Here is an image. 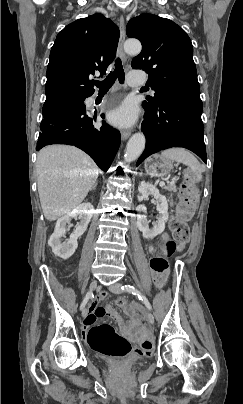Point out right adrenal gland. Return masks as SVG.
Wrapping results in <instances>:
<instances>
[{
	"mask_svg": "<svg viewBox=\"0 0 243 404\" xmlns=\"http://www.w3.org/2000/svg\"><path fill=\"white\" fill-rule=\"evenodd\" d=\"M98 182H95L94 186H92L91 190H96V186H97Z\"/></svg>",
	"mask_w": 243,
	"mask_h": 404,
	"instance_id": "2a0ac1e0",
	"label": "right adrenal gland"
}]
</instances>
